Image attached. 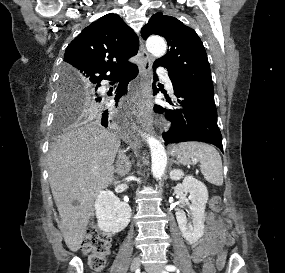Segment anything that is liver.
Returning a JSON list of instances; mask_svg holds the SVG:
<instances>
[{"label": "liver", "mask_w": 285, "mask_h": 273, "mask_svg": "<svg viewBox=\"0 0 285 273\" xmlns=\"http://www.w3.org/2000/svg\"><path fill=\"white\" fill-rule=\"evenodd\" d=\"M119 147L116 133L86 124L62 134L49 151V183L61 217L59 228L73 252L84 240L94 200L113 181Z\"/></svg>", "instance_id": "6515ba94"}]
</instances>
